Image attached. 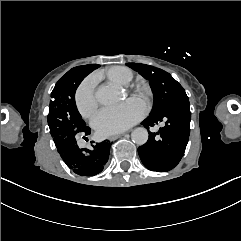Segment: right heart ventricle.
<instances>
[{
	"instance_id": "obj_1",
	"label": "right heart ventricle",
	"mask_w": 241,
	"mask_h": 241,
	"mask_svg": "<svg viewBox=\"0 0 241 241\" xmlns=\"http://www.w3.org/2000/svg\"><path fill=\"white\" fill-rule=\"evenodd\" d=\"M108 78L118 84L128 85L133 79V73L129 68L123 66H113L107 71ZM87 87L91 90L92 82L86 84Z\"/></svg>"
}]
</instances>
